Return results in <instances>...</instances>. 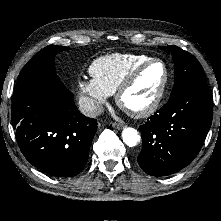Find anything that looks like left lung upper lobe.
I'll return each mask as SVG.
<instances>
[{
  "instance_id": "1",
  "label": "left lung upper lobe",
  "mask_w": 221,
  "mask_h": 221,
  "mask_svg": "<svg viewBox=\"0 0 221 221\" xmlns=\"http://www.w3.org/2000/svg\"><path fill=\"white\" fill-rule=\"evenodd\" d=\"M160 48L171 53L174 61L175 78L170 98L190 86L207 84L204 70L192 54L174 45Z\"/></svg>"
}]
</instances>
